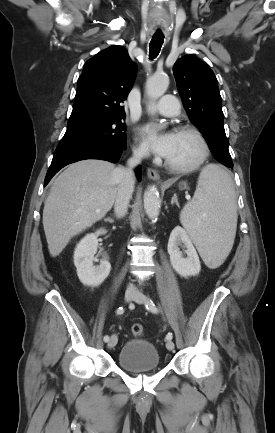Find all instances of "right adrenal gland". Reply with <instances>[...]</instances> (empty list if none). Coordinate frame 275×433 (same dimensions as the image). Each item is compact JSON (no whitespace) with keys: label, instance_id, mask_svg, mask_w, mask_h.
I'll list each match as a JSON object with an SVG mask.
<instances>
[{"label":"right adrenal gland","instance_id":"right-adrenal-gland-1","mask_svg":"<svg viewBox=\"0 0 275 433\" xmlns=\"http://www.w3.org/2000/svg\"><path fill=\"white\" fill-rule=\"evenodd\" d=\"M104 220H105V222H109V223H113V222H114V220L111 219V218H106V219H104Z\"/></svg>","mask_w":275,"mask_h":433}]
</instances>
